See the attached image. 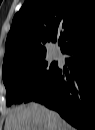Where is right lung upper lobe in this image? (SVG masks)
Instances as JSON below:
<instances>
[{"label": "right lung upper lobe", "mask_w": 95, "mask_h": 130, "mask_svg": "<svg viewBox=\"0 0 95 130\" xmlns=\"http://www.w3.org/2000/svg\"><path fill=\"white\" fill-rule=\"evenodd\" d=\"M94 32L93 0H27L12 21L3 71L44 58L45 46L57 35L62 51Z\"/></svg>", "instance_id": "right-lung-upper-lobe-1"}]
</instances>
